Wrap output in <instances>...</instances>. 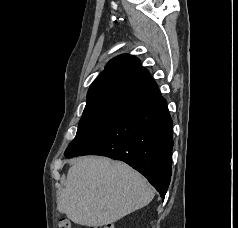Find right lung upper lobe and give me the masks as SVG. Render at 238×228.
Wrapping results in <instances>:
<instances>
[{"label": "right lung upper lobe", "instance_id": "obj_1", "mask_svg": "<svg viewBox=\"0 0 238 228\" xmlns=\"http://www.w3.org/2000/svg\"><path fill=\"white\" fill-rule=\"evenodd\" d=\"M159 96L157 84L140 61L119 55L108 62L90 86L83 113L123 115Z\"/></svg>", "mask_w": 238, "mask_h": 228}]
</instances>
